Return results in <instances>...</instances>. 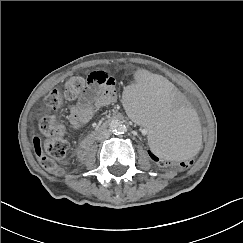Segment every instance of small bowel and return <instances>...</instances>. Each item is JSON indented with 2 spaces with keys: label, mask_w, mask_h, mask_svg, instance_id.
Masks as SVG:
<instances>
[{
  "label": "small bowel",
  "mask_w": 243,
  "mask_h": 243,
  "mask_svg": "<svg viewBox=\"0 0 243 243\" xmlns=\"http://www.w3.org/2000/svg\"><path fill=\"white\" fill-rule=\"evenodd\" d=\"M115 100L116 91L114 84H94L90 86L85 95L72 105L70 109L71 126L74 129H79L90 121L97 110L112 104Z\"/></svg>",
  "instance_id": "obj_1"
}]
</instances>
